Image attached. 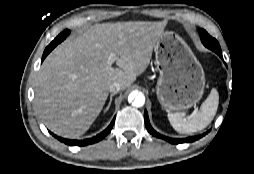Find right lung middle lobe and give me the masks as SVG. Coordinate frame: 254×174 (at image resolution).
Wrapping results in <instances>:
<instances>
[{
  "instance_id": "dd1d6c3e",
  "label": "right lung middle lobe",
  "mask_w": 254,
  "mask_h": 174,
  "mask_svg": "<svg viewBox=\"0 0 254 174\" xmlns=\"http://www.w3.org/2000/svg\"><path fill=\"white\" fill-rule=\"evenodd\" d=\"M64 31H66V32L70 33V31H69V30H67V29H66V30H64Z\"/></svg>"
}]
</instances>
